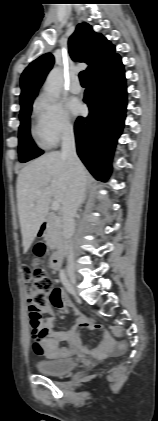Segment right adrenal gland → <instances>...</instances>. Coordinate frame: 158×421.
<instances>
[{
  "mask_svg": "<svg viewBox=\"0 0 158 421\" xmlns=\"http://www.w3.org/2000/svg\"><path fill=\"white\" fill-rule=\"evenodd\" d=\"M85 199H86V196L84 197V200H83V202H85Z\"/></svg>",
  "mask_w": 158,
  "mask_h": 421,
  "instance_id": "right-adrenal-gland-1",
  "label": "right adrenal gland"
}]
</instances>
